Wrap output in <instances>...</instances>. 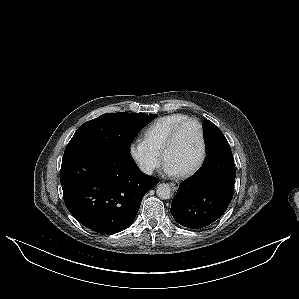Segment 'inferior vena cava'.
I'll return each instance as SVG.
<instances>
[{"label": "inferior vena cava", "instance_id": "1", "mask_svg": "<svg viewBox=\"0 0 299 299\" xmlns=\"http://www.w3.org/2000/svg\"><path fill=\"white\" fill-rule=\"evenodd\" d=\"M141 170H142L143 172H145V173H152V169L147 168V167H145V166H142V167H141Z\"/></svg>", "mask_w": 299, "mask_h": 299}]
</instances>
